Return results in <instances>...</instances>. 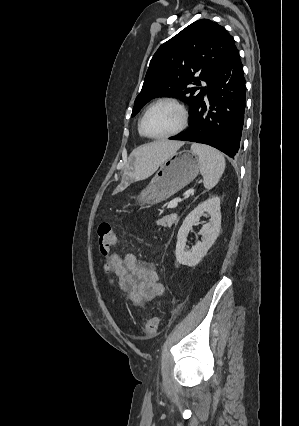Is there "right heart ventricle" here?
<instances>
[{"label": "right heart ventricle", "instance_id": "right-heart-ventricle-1", "mask_svg": "<svg viewBox=\"0 0 299 426\" xmlns=\"http://www.w3.org/2000/svg\"><path fill=\"white\" fill-rule=\"evenodd\" d=\"M139 134H140V135H142V133H141V131H140V128H139Z\"/></svg>", "mask_w": 299, "mask_h": 426}]
</instances>
